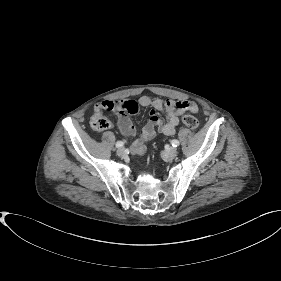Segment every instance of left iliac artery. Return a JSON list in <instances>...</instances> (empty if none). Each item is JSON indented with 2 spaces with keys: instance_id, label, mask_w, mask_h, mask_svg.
<instances>
[{
  "instance_id": "1",
  "label": "left iliac artery",
  "mask_w": 281,
  "mask_h": 281,
  "mask_svg": "<svg viewBox=\"0 0 281 281\" xmlns=\"http://www.w3.org/2000/svg\"><path fill=\"white\" fill-rule=\"evenodd\" d=\"M171 144H172L173 147H177V146H179V141L178 140H172Z\"/></svg>"
}]
</instances>
